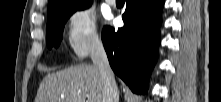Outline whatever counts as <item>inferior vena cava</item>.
<instances>
[{"label": "inferior vena cava", "instance_id": "inferior-vena-cava-1", "mask_svg": "<svg viewBox=\"0 0 221 102\" xmlns=\"http://www.w3.org/2000/svg\"><path fill=\"white\" fill-rule=\"evenodd\" d=\"M91 59L101 73L104 85L103 102H119V93L114 74L109 65L103 43L99 38H96L93 42Z\"/></svg>", "mask_w": 221, "mask_h": 102}]
</instances>
